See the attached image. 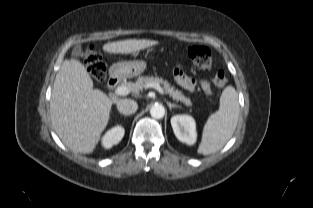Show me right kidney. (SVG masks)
<instances>
[{
    "label": "right kidney",
    "mask_w": 313,
    "mask_h": 208,
    "mask_svg": "<svg viewBox=\"0 0 313 208\" xmlns=\"http://www.w3.org/2000/svg\"><path fill=\"white\" fill-rule=\"evenodd\" d=\"M124 133L125 130L122 126L118 125L113 127L103 136L102 145L104 148H111L113 145L118 144L122 140Z\"/></svg>",
    "instance_id": "ca27d5eb"
}]
</instances>
